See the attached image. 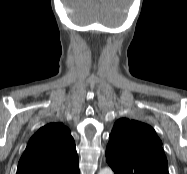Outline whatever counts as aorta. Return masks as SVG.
Wrapping results in <instances>:
<instances>
[{"label":"aorta","instance_id":"762f6f07","mask_svg":"<svg viewBox=\"0 0 187 174\" xmlns=\"http://www.w3.org/2000/svg\"><path fill=\"white\" fill-rule=\"evenodd\" d=\"M99 174H114V173L111 168L105 167L102 170H100Z\"/></svg>","mask_w":187,"mask_h":174}]
</instances>
